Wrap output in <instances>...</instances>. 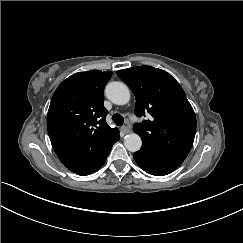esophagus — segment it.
<instances>
[{"label": "esophagus", "instance_id": "34e87169", "mask_svg": "<svg viewBox=\"0 0 243 243\" xmlns=\"http://www.w3.org/2000/svg\"><path fill=\"white\" fill-rule=\"evenodd\" d=\"M121 132L123 135L128 134L131 132V130L128 127H122Z\"/></svg>", "mask_w": 243, "mask_h": 243}]
</instances>
